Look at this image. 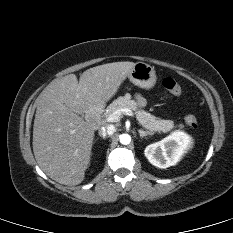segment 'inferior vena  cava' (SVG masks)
Wrapping results in <instances>:
<instances>
[{
  "instance_id": "inferior-vena-cava-1",
  "label": "inferior vena cava",
  "mask_w": 233,
  "mask_h": 233,
  "mask_svg": "<svg viewBox=\"0 0 233 233\" xmlns=\"http://www.w3.org/2000/svg\"><path fill=\"white\" fill-rule=\"evenodd\" d=\"M116 131V128L114 125H107L105 127H101L99 130V135L102 137H106V136H111L114 134V132Z\"/></svg>"
}]
</instances>
